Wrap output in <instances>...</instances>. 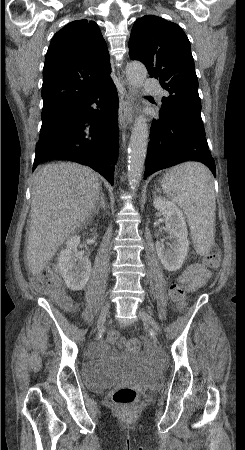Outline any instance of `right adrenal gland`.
Returning a JSON list of instances; mask_svg holds the SVG:
<instances>
[{
	"mask_svg": "<svg viewBox=\"0 0 245 450\" xmlns=\"http://www.w3.org/2000/svg\"><path fill=\"white\" fill-rule=\"evenodd\" d=\"M105 205H106V203H105V195H104L103 192H100V197L98 199V202H97V205H96V208H95V214L99 213L100 208L105 209Z\"/></svg>",
	"mask_w": 245,
	"mask_h": 450,
	"instance_id": "2a0ac1e0",
	"label": "right adrenal gland"
}]
</instances>
